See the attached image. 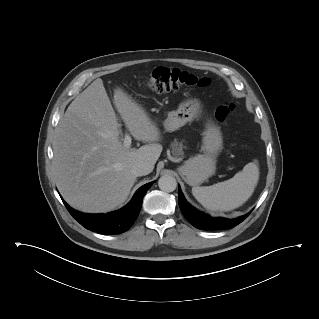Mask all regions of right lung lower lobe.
I'll use <instances>...</instances> for the list:
<instances>
[{"mask_svg":"<svg viewBox=\"0 0 319 319\" xmlns=\"http://www.w3.org/2000/svg\"><path fill=\"white\" fill-rule=\"evenodd\" d=\"M154 182H150L137 190L133 199L122 209L108 214H84L64 204L72 217L82 226L102 234H120L127 231L137 219L142 199Z\"/></svg>","mask_w":319,"mask_h":319,"instance_id":"98d812e1","label":"right lung lower lobe"}]
</instances>
